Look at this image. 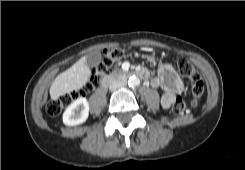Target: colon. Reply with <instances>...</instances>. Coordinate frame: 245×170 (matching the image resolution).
<instances>
[{
	"mask_svg": "<svg viewBox=\"0 0 245 170\" xmlns=\"http://www.w3.org/2000/svg\"><path fill=\"white\" fill-rule=\"evenodd\" d=\"M122 52L118 49H112L106 51L103 55V61L98 66L97 72L91 77L90 82L85 86L84 89L74 90L66 93L60 98L51 101L47 105V113L50 116L59 115L62 110L71 104L73 101L84 96L85 91L98 86L101 82V76L111 72L112 68L116 65L118 60L121 58ZM178 69L180 73L187 77L191 81V104L195 106L198 100L203 95L205 87L201 74L196 70L194 65L187 58L181 57L177 61ZM185 102L182 97H176L173 104V111L176 114H180L185 110Z\"/></svg>",
	"mask_w": 245,
	"mask_h": 170,
	"instance_id": "5ec220e1",
	"label": "colon"
}]
</instances>
